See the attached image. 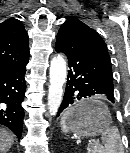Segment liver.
Listing matches in <instances>:
<instances>
[{"mask_svg":"<svg viewBox=\"0 0 130 153\" xmlns=\"http://www.w3.org/2000/svg\"><path fill=\"white\" fill-rule=\"evenodd\" d=\"M14 136L13 134L0 127V153H7L13 144Z\"/></svg>","mask_w":130,"mask_h":153,"instance_id":"6515ba94","label":"liver"}]
</instances>
